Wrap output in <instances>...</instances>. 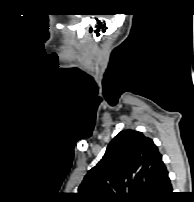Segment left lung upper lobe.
<instances>
[{"mask_svg": "<svg viewBox=\"0 0 194 202\" xmlns=\"http://www.w3.org/2000/svg\"><path fill=\"white\" fill-rule=\"evenodd\" d=\"M166 169L154 142L135 130L118 133L79 186L84 202L151 201Z\"/></svg>", "mask_w": 194, "mask_h": 202, "instance_id": "1", "label": "left lung upper lobe"}]
</instances>
